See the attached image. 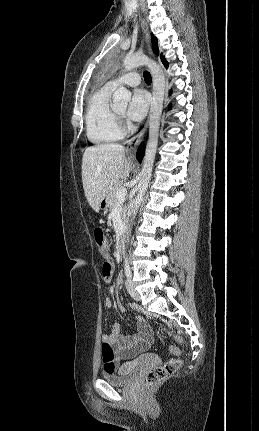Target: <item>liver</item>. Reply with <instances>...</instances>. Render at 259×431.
Wrapping results in <instances>:
<instances>
[{"mask_svg": "<svg viewBox=\"0 0 259 431\" xmlns=\"http://www.w3.org/2000/svg\"><path fill=\"white\" fill-rule=\"evenodd\" d=\"M130 170L131 164L122 145L100 144L86 148L82 158V183L94 211H99L100 202L115 184L129 177Z\"/></svg>", "mask_w": 259, "mask_h": 431, "instance_id": "obj_1", "label": "liver"}]
</instances>
